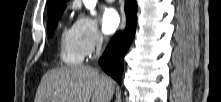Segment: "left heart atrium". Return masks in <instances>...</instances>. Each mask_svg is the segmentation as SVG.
Wrapping results in <instances>:
<instances>
[{"label": "left heart atrium", "instance_id": "obj_1", "mask_svg": "<svg viewBox=\"0 0 221 102\" xmlns=\"http://www.w3.org/2000/svg\"><path fill=\"white\" fill-rule=\"evenodd\" d=\"M120 25V16L114 8H108L102 16V29L106 34L114 32Z\"/></svg>", "mask_w": 221, "mask_h": 102}]
</instances>
